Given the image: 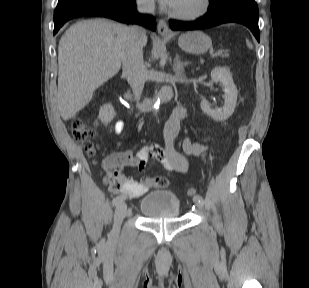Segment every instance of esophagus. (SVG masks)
<instances>
[{
	"label": "esophagus",
	"mask_w": 309,
	"mask_h": 288,
	"mask_svg": "<svg viewBox=\"0 0 309 288\" xmlns=\"http://www.w3.org/2000/svg\"><path fill=\"white\" fill-rule=\"evenodd\" d=\"M157 28H158L159 34H161L163 36L171 34V31L168 27V24L163 19L159 20Z\"/></svg>",
	"instance_id": "1"
}]
</instances>
